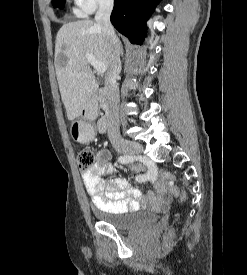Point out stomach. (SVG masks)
Segmentation results:
<instances>
[{
    "instance_id": "obj_1",
    "label": "stomach",
    "mask_w": 247,
    "mask_h": 275,
    "mask_svg": "<svg viewBox=\"0 0 247 275\" xmlns=\"http://www.w3.org/2000/svg\"><path fill=\"white\" fill-rule=\"evenodd\" d=\"M70 133L74 140L81 143L87 142L94 136L91 126L82 121L73 122Z\"/></svg>"
}]
</instances>
